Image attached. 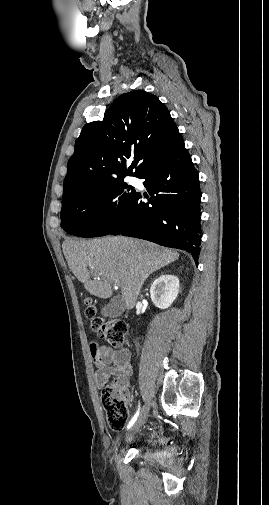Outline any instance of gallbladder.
<instances>
[{"label":"gallbladder","instance_id":"1","mask_svg":"<svg viewBox=\"0 0 269 505\" xmlns=\"http://www.w3.org/2000/svg\"><path fill=\"white\" fill-rule=\"evenodd\" d=\"M125 310V303L121 296L112 298L101 310L102 315L115 318L120 316Z\"/></svg>","mask_w":269,"mask_h":505}]
</instances>
